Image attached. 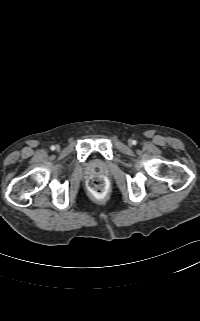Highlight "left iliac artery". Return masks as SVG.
<instances>
[{"label":"left iliac artery","mask_w":200,"mask_h":321,"mask_svg":"<svg viewBox=\"0 0 200 321\" xmlns=\"http://www.w3.org/2000/svg\"><path fill=\"white\" fill-rule=\"evenodd\" d=\"M133 144H136V141H135V140L133 141Z\"/></svg>","instance_id":"1"}]
</instances>
